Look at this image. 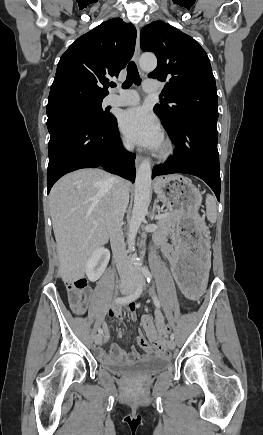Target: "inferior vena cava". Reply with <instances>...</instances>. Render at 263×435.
<instances>
[{
    "label": "inferior vena cava",
    "instance_id": "obj_1",
    "mask_svg": "<svg viewBox=\"0 0 263 435\" xmlns=\"http://www.w3.org/2000/svg\"><path fill=\"white\" fill-rule=\"evenodd\" d=\"M128 150L133 146L128 144ZM112 199L109 212L108 232L110 236L111 249L120 275L132 274L133 269L126 260V248L122 231V220L129 202V191L125 180L119 177H112Z\"/></svg>",
    "mask_w": 263,
    "mask_h": 435
}]
</instances>
